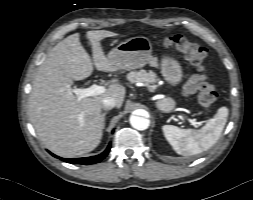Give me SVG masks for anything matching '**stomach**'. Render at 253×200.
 <instances>
[{
    "label": "stomach",
    "mask_w": 253,
    "mask_h": 200,
    "mask_svg": "<svg viewBox=\"0 0 253 200\" xmlns=\"http://www.w3.org/2000/svg\"><path fill=\"white\" fill-rule=\"evenodd\" d=\"M152 44L146 37H134L121 42L113 48L107 58L116 69L133 70L144 67L151 59ZM161 74L171 85H177L183 77L180 63L169 56H164L160 63ZM175 101L165 97L157 101L160 111L169 113L175 108Z\"/></svg>",
    "instance_id": "0dacf381"
}]
</instances>
